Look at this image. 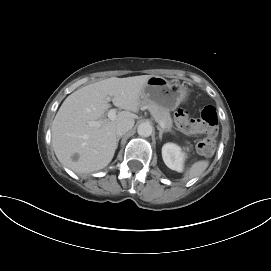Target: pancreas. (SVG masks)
<instances>
[{"label": "pancreas", "instance_id": "pancreas-1", "mask_svg": "<svg viewBox=\"0 0 271 271\" xmlns=\"http://www.w3.org/2000/svg\"><path fill=\"white\" fill-rule=\"evenodd\" d=\"M143 105L150 111V113L157 122H164L166 126V131H172L173 123L169 111L165 110L164 108L160 107L155 103L143 102Z\"/></svg>", "mask_w": 271, "mask_h": 271}]
</instances>
